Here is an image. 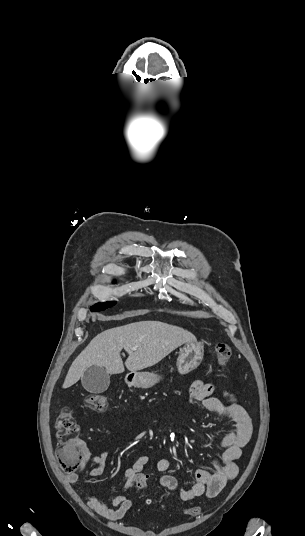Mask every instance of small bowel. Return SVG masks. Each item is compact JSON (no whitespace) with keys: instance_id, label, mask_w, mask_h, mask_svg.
I'll return each mask as SVG.
<instances>
[{"instance_id":"small-bowel-1","label":"small bowel","mask_w":305,"mask_h":536,"mask_svg":"<svg viewBox=\"0 0 305 536\" xmlns=\"http://www.w3.org/2000/svg\"><path fill=\"white\" fill-rule=\"evenodd\" d=\"M217 388L212 383L196 380L190 387L189 399L191 402H200L207 410L215 412L219 417L232 425V430L222 439L221 446L223 454L219 460H215L213 472L207 470H198L195 472V483L189 489L180 492L182 500H194L206 496L213 498L217 496L238 474L236 460L242 455V449L249 443L252 436V421L238 400L229 394H226L222 400L213 396ZM82 455L77 471L68 474L69 483H76L79 476L84 472L89 463L95 467L89 472L91 478L101 476L108 463V452L103 451L99 455H91L82 441H79ZM150 459L148 456H140L134 464L124 472L123 492L133 488L134 479H137L135 473L137 469H145ZM171 461L168 458H161L156 463L159 472L165 473L170 469ZM160 485L164 488L174 490L177 488V479L165 474L160 478ZM120 493L113 498V506L109 507L102 499L95 495H90L88 503L90 507L101 517L117 521L132 507L133 502L124 494Z\"/></svg>"}]
</instances>
